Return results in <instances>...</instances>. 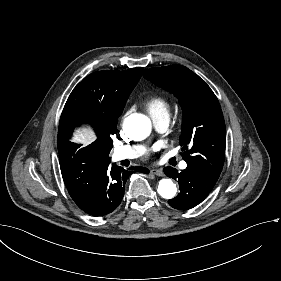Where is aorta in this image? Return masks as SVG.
I'll use <instances>...</instances> for the list:
<instances>
[{"label":"aorta","mask_w":281,"mask_h":281,"mask_svg":"<svg viewBox=\"0 0 281 281\" xmlns=\"http://www.w3.org/2000/svg\"><path fill=\"white\" fill-rule=\"evenodd\" d=\"M124 129L134 140L140 141L150 135L151 121L147 116L135 113L126 118ZM157 191L161 197L172 199L177 193V188L171 179H162Z\"/></svg>","instance_id":"1"}]
</instances>
